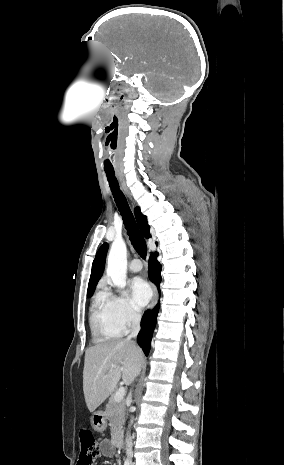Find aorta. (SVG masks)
Returning <instances> with one entry per match:
<instances>
[{
    "instance_id": "762f6f07",
    "label": "aorta",
    "mask_w": 284,
    "mask_h": 465,
    "mask_svg": "<svg viewBox=\"0 0 284 465\" xmlns=\"http://www.w3.org/2000/svg\"><path fill=\"white\" fill-rule=\"evenodd\" d=\"M127 248L122 239L115 240L108 255L107 276L114 285L124 288L126 285ZM133 422V421H131Z\"/></svg>"
}]
</instances>
